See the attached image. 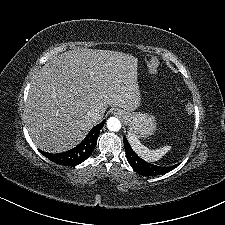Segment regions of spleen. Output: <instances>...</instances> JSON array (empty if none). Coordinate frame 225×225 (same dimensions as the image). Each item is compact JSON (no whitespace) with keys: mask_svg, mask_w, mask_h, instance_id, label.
Here are the masks:
<instances>
[{"mask_svg":"<svg viewBox=\"0 0 225 225\" xmlns=\"http://www.w3.org/2000/svg\"><path fill=\"white\" fill-rule=\"evenodd\" d=\"M127 138L135 153H137L147 162H155L159 160L171 149V146L168 145L155 150L149 149L144 146L134 134L130 132L128 133Z\"/></svg>","mask_w":225,"mask_h":225,"instance_id":"1","label":"spleen"}]
</instances>
